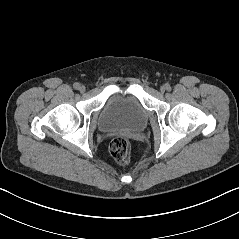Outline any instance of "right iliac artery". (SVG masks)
<instances>
[{
  "label": "right iliac artery",
  "instance_id": "1",
  "mask_svg": "<svg viewBox=\"0 0 239 239\" xmlns=\"http://www.w3.org/2000/svg\"><path fill=\"white\" fill-rule=\"evenodd\" d=\"M73 87H74L75 89H79V88H80V84H79V83H74Z\"/></svg>",
  "mask_w": 239,
  "mask_h": 239
}]
</instances>
